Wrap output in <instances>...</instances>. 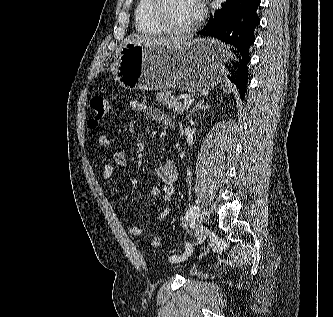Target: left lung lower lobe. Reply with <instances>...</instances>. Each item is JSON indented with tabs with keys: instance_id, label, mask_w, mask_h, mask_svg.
<instances>
[{
	"instance_id": "0a47b994",
	"label": "left lung lower lobe",
	"mask_w": 333,
	"mask_h": 317,
	"mask_svg": "<svg viewBox=\"0 0 333 317\" xmlns=\"http://www.w3.org/2000/svg\"><path fill=\"white\" fill-rule=\"evenodd\" d=\"M260 0H230L210 16L206 26L198 35L214 37L222 42L234 46L237 50L230 53L225 67L227 78L244 97L247 84V64L250 61L249 48L255 41L254 29L259 25L257 9Z\"/></svg>"
}]
</instances>
